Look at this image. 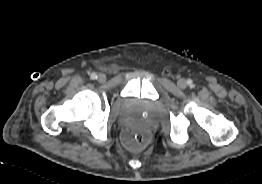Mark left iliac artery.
<instances>
[{"label":"left iliac artery","mask_w":262,"mask_h":184,"mask_svg":"<svg viewBox=\"0 0 262 184\" xmlns=\"http://www.w3.org/2000/svg\"><path fill=\"white\" fill-rule=\"evenodd\" d=\"M187 84L191 86V85H192V80L189 79V80L187 81Z\"/></svg>","instance_id":"44dca946"}]
</instances>
